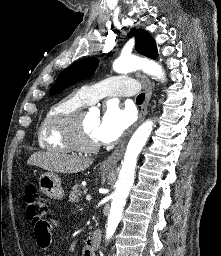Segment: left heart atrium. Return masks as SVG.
Segmentation results:
<instances>
[{
  "instance_id": "obj_1",
  "label": "left heart atrium",
  "mask_w": 221,
  "mask_h": 256,
  "mask_svg": "<svg viewBox=\"0 0 221 256\" xmlns=\"http://www.w3.org/2000/svg\"><path fill=\"white\" fill-rule=\"evenodd\" d=\"M134 114L128 108H122L116 102H109L94 130L97 142L111 143L116 141L133 123Z\"/></svg>"
}]
</instances>
